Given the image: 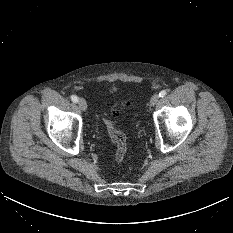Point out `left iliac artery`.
Wrapping results in <instances>:
<instances>
[{"instance_id": "44dca946", "label": "left iliac artery", "mask_w": 233, "mask_h": 233, "mask_svg": "<svg viewBox=\"0 0 233 233\" xmlns=\"http://www.w3.org/2000/svg\"><path fill=\"white\" fill-rule=\"evenodd\" d=\"M167 95V91L166 90H162L160 93H159V97L163 98Z\"/></svg>"}]
</instances>
